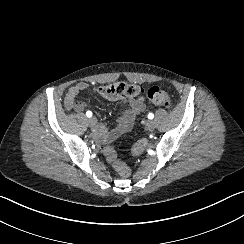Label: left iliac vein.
<instances>
[{
	"instance_id": "4c4485c4",
	"label": "left iliac vein",
	"mask_w": 244,
	"mask_h": 244,
	"mask_svg": "<svg viewBox=\"0 0 244 244\" xmlns=\"http://www.w3.org/2000/svg\"><path fill=\"white\" fill-rule=\"evenodd\" d=\"M145 129L149 132H152L155 129V124L152 120H148L145 123Z\"/></svg>"
}]
</instances>
